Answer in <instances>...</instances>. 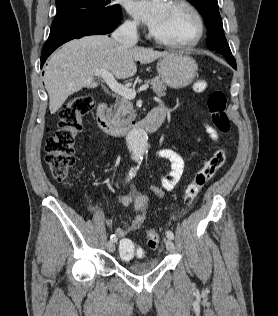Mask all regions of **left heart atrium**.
Masks as SVG:
<instances>
[{
    "instance_id": "1",
    "label": "left heart atrium",
    "mask_w": 278,
    "mask_h": 316,
    "mask_svg": "<svg viewBox=\"0 0 278 316\" xmlns=\"http://www.w3.org/2000/svg\"><path fill=\"white\" fill-rule=\"evenodd\" d=\"M168 6L167 0H130L128 11L153 31L163 20Z\"/></svg>"
}]
</instances>
